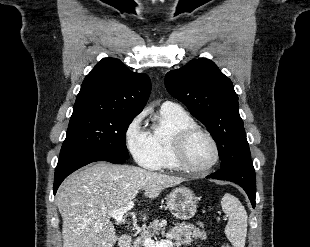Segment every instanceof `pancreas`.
<instances>
[{
	"mask_svg": "<svg viewBox=\"0 0 310 247\" xmlns=\"http://www.w3.org/2000/svg\"><path fill=\"white\" fill-rule=\"evenodd\" d=\"M164 224L155 220L150 223V225L144 228L141 235L134 241L132 247H143V241L146 237H152L158 234L162 236L165 235ZM169 240H173V245L175 247H180L182 245H190L194 240L198 238L205 240L206 232L196 228L192 224L187 223H176L171 230L167 233Z\"/></svg>",
	"mask_w": 310,
	"mask_h": 247,
	"instance_id": "1",
	"label": "pancreas"
}]
</instances>
